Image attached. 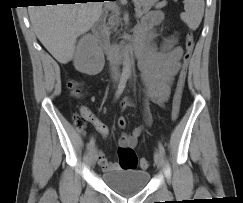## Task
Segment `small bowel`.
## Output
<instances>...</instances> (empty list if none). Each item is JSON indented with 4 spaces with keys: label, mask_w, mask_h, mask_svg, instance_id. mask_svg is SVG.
<instances>
[{
    "label": "small bowel",
    "mask_w": 243,
    "mask_h": 203,
    "mask_svg": "<svg viewBox=\"0 0 243 203\" xmlns=\"http://www.w3.org/2000/svg\"><path fill=\"white\" fill-rule=\"evenodd\" d=\"M161 21V12L153 11L148 13L142 18L137 28L136 37L146 42L144 53L139 62L142 80L145 85V104L152 101L160 106H165L170 97L172 83L181 66L180 60L183 50L180 47L174 46L173 38H167L162 47L159 50L156 49L154 42L158 35L157 27ZM132 104V101L126 99L123 101L121 107L125 109ZM85 110L89 114L88 120L93 124L97 132L103 137H107L109 134L108 127L87 109ZM144 123L145 126L152 124L147 110L144 112ZM117 125L121 130H124L126 127L125 118L120 117L117 120ZM143 129L144 127L140 126L129 134L122 132L119 145L134 148ZM97 155L99 165L104 171L109 172L120 169L119 164L109 162L102 151H98Z\"/></svg>",
    "instance_id": "1"
}]
</instances>
